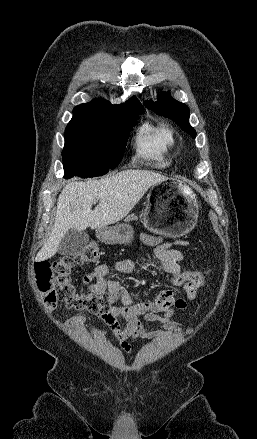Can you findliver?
Returning <instances> with one entry per match:
<instances>
[{
    "label": "liver",
    "instance_id": "6515ba94",
    "mask_svg": "<svg viewBox=\"0 0 257 439\" xmlns=\"http://www.w3.org/2000/svg\"><path fill=\"white\" fill-rule=\"evenodd\" d=\"M165 179L153 171L129 169L100 180L68 183L57 200L51 235L36 260L53 257L63 236L71 229H97L122 220L150 187ZM96 200L99 204L92 210Z\"/></svg>",
    "mask_w": 257,
    "mask_h": 439
}]
</instances>
